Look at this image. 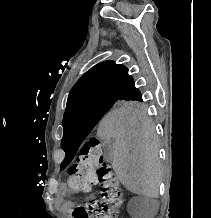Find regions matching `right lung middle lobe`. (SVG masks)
Masks as SVG:
<instances>
[{"mask_svg": "<svg viewBox=\"0 0 211 218\" xmlns=\"http://www.w3.org/2000/svg\"><path fill=\"white\" fill-rule=\"evenodd\" d=\"M142 98L90 100L66 109L63 117L62 143H81L106 112L120 109H140Z\"/></svg>", "mask_w": 211, "mask_h": 218, "instance_id": "1", "label": "right lung middle lobe"}]
</instances>
